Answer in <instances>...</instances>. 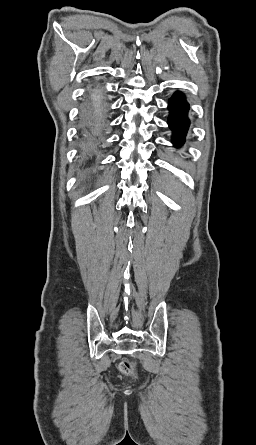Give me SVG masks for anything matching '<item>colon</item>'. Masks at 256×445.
<instances>
[{
	"label": "colon",
	"instance_id": "colon-1",
	"mask_svg": "<svg viewBox=\"0 0 256 445\" xmlns=\"http://www.w3.org/2000/svg\"><path fill=\"white\" fill-rule=\"evenodd\" d=\"M119 369L124 374H130L133 372V364L129 361H123L120 363Z\"/></svg>",
	"mask_w": 256,
	"mask_h": 445
}]
</instances>
